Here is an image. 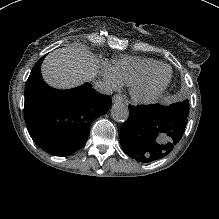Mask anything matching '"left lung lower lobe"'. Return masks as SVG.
Instances as JSON below:
<instances>
[{
  "label": "left lung lower lobe",
  "instance_id": "obj_1",
  "mask_svg": "<svg viewBox=\"0 0 219 219\" xmlns=\"http://www.w3.org/2000/svg\"><path fill=\"white\" fill-rule=\"evenodd\" d=\"M120 129V144L130 157L151 162L166 156L181 139L188 115L159 104L132 105Z\"/></svg>",
  "mask_w": 219,
  "mask_h": 219
}]
</instances>
